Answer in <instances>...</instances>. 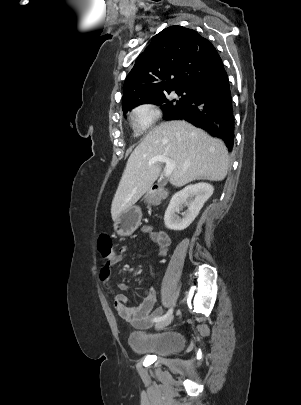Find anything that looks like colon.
<instances>
[{
  "instance_id": "colon-1",
  "label": "colon",
  "mask_w": 301,
  "mask_h": 405,
  "mask_svg": "<svg viewBox=\"0 0 301 405\" xmlns=\"http://www.w3.org/2000/svg\"><path fill=\"white\" fill-rule=\"evenodd\" d=\"M98 251L103 260H108L113 252L112 242L107 234H101L97 242Z\"/></svg>"
}]
</instances>
